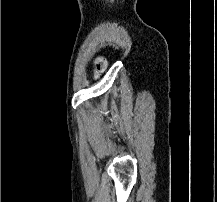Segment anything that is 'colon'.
<instances>
[{
	"mask_svg": "<svg viewBox=\"0 0 217 202\" xmlns=\"http://www.w3.org/2000/svg\"><path fill=\"white\" fill-rule=\"evenodd\" d=\"M107 59L103 54H97L92 60V76L94 79L100 77L107 69Z\"/></svg>",
	"mask_w": 217,
	"mask_h": 202,
	"instance_id": "5ec220e1",
	"label": "colon"
}]
</instances>
